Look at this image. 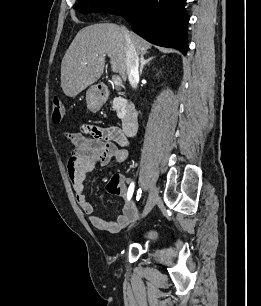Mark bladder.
I'll return each mask as SVG.
<instances>
[{
	"label": "bladder",
	"instance_id": "31cf9c89",
	"mask_svg": "<svg viewBox=\"0 0 261 306\" xmlns=\"http://www.w3.org/2000/svg\"><path fill=\"white\" fill-rule=\"evenodd\" d=\"M143 239L153 242L157 239V232L154 229H150L143 234Z\"/></svg>",
	"mask_w": 261,
	"mask_h": 306
}]
</instances>
